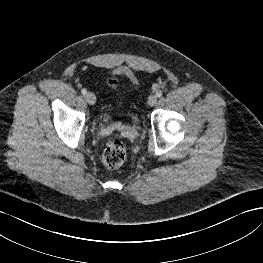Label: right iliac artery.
<instances>
[{"instance_id":"1","label":"right iliac artery","mask_w":263,"mask_h":263,"mask_svg":"<svg viewBox=\"0 0 263 263\" xmlns=\"http://www.w3.org/2000/svg\"><path fill=\"white\" fill-rule=\"evenodd\" d=\"M81 93H82L83 95H85V94L87 93V90H86L85 88H83V89L81 90Z\"/></svg>"}]
</instances>
